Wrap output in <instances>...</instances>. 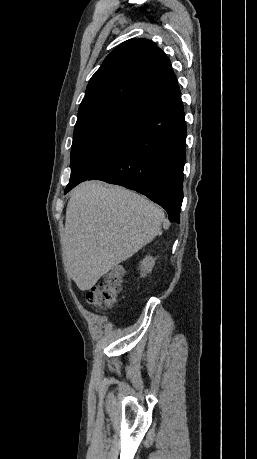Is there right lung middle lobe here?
<instances>
[{"label":"right lung middle lobe","mask_w":257,"mask_h":459,"mask_svg":"<svg viewBox=\"0 0 257 459\" xmlns=\"http://www.w3.org/2000/svg\"><path fill=\"white\" fill-rule=\"evenodd\" d=\"M136 110L112 106L78 116L71 148V177L104 149Z\"/></svg>","instance_id":"obj_1"}]
</instances>
